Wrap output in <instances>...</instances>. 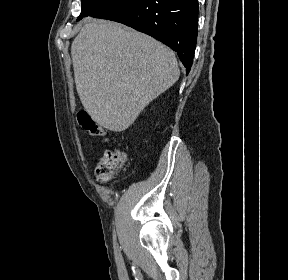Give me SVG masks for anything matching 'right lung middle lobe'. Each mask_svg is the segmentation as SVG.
<instances>
[{"mask_svg": "<svg viewBox=\"0 0 288 280\" xmlns=\"http://www.w3.org/2000/svg\"><path fill=\"white\" fill-rule=\"evenodd\" d=\"M109 1L111 0H81L82 10L77 18V21L81 20L85 16H90L98 8L108 3Z\"/></svg>", "mask_w": 288, "mask_h": 280, "instance_id": "right-lung-middle-lobe-1", "label": "right lung middle lobe"}]
</instances>
